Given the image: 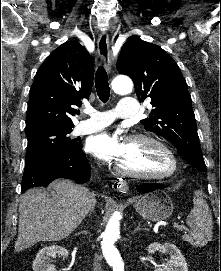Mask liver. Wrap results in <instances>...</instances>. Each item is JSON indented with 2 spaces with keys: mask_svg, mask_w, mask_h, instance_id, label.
<instances>
[{
  "mask_svg": "<svg viewBox=\"0 0 221 271\" xmlns=\"http://www.w3.org/2000/svg\"><path fill=\"white\" fill-rule=\"evenodd\" d=\"M51 187L56 191L54 197L38 187H31L21 195L15 251L31 247L36 241L67 237L96 203L91 197L93 193L72 179H55Z\"/></svg>",
  "mask_w": 221,
  "mask_h": 271,
  "instance_id": "obj_1",
  "label": "liver"
}]
</instances>
